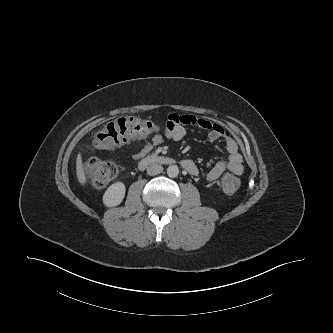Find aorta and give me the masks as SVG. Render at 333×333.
<instances>
[{"label":"aorta","mask_w":333,"mask_h":333,"mask_svg":"<svg viewBox=\"0 0 333 333\" xmlns=\"http://www.w3.org/2000/svg\"><path fill=\"white\" fill-rule=\"evenodd\" d=\"M179 174V169H178V166L177 165H170L168 168H167V175L171 178H175L177 177Z\"/></svg>","instance_id":"762f6f07"}]
</instances>
